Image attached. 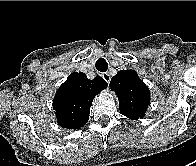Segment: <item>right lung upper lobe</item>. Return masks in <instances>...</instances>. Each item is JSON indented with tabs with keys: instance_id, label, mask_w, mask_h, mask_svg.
<instances>
[{
	"instance_id": "cb5924a9",
	"label": "right lung upper lobe",
	"mask_w": 196,
	"mask_h": 166,
	"mask_svg": "<svg viewBox=\"0 0 196 166\" xmlns=\"http://www.w3.org/2000/svg\"><path fill=\"white\" fill-rule=\"evenodd\" d=\"M107 86V82L100 76L89 80L85 73H71L53 99L58 124L67 129L83 126L89 120L94 97Z\"/></svg>"
}]
</instances>
